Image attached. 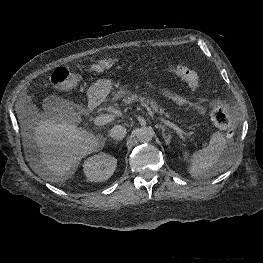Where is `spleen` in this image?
Wrapping results in <instances>:
<instances>
[{"instance_id":"1","label":"spleen","mask_w":263,"mask_h":263,"mask_svg":"<svg viewBox=\"0 0 263 263\" xmlns=\"http://www.w3.org/2000/svg\"><path fill=\"white\" fill-rule=\"evenodd\" d=\"M234 151L233 146L226 140L221 132L212 134L209 145L195 152L190 160L189 173L195 179L208 175L211 168L223 171L233 164L231 153ZM184 159L189 158V153L184 152Z\"/></svg>"}]
</instances>
